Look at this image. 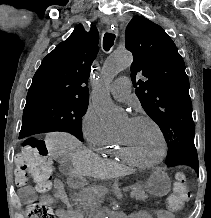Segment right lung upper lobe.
<instances>
[{"label": "right lung upper lobe", "instance_id": "1", "mask_svg": "<svg viewBox=\"0 0 211 218\" xmlns=\"http://www.w3.org/2000/svg\"><path fill=\"white\" fill-rule=\"evenodd\" d=\"M98 31L78 25L42 61L29 88L26 103L45 99L89 101L91 65L98 53Z\"/></svg>", "mask_w": 211, "mask_h": 218}]
</instances>
